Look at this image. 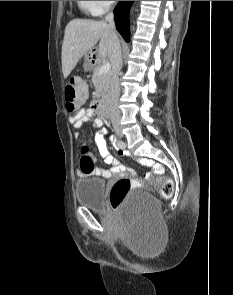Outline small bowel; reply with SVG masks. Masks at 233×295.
Segmentation results:
<instances>
[{
    "label": "small bowel",
    "instance_id": "obj_1",
    "mask_svg": "<svg viewBox=\"0 0 233 295\" xmlns=\"http://www.w3.org/2000/svg\"><path fill=\"white\" fill-rule=\"evenodd\" d=\"M71 123L75 129H79L84 123L92 122L95 127H102L103 121L95 116V113L92 109H80L77 111L75 115L71 117ZM106 130L103 129L99 134H97L95 138V143L99 154L103 158L105 164L110 166L108 169H102L98 167H94L92 174L103 177V178H112L119 173H124L129 171V168L122 164L116 157H114L108 147L104 136L106 135ZM111 141L115 143V139L111 138ZM116 146V143H115ZM117 150L120 154H125L124 148L117 147ZM83 153L87 155L94 161L92 154L87 150V148L83 147ZM139 162L147 167H151L156 173H160L162 171V166L158 163H154L150 159H140Z\"/></svg>",
    "mask_w": 233,
    "mask_h": 295
}]
</instances>
